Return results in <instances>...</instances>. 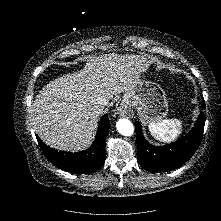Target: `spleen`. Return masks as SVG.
Masks as SVG:
<instances>
[{
  "label": "spleen",
  "instance_id": "spleen-1",
  "mask_svg": "<svg viewBox=\"0 0 221 221\" xmlns=\"http://www.w3.org/2000/svg\"><path fill=\"white\" fill-rule=\"evenodd\" d=\"M149 131L155 139L162 142L175 140L182 131V121L179 119H165L149 124Z\"/></svg>",
  "mask_w": 221,
  "mask_h": 221
}]
</instances>
